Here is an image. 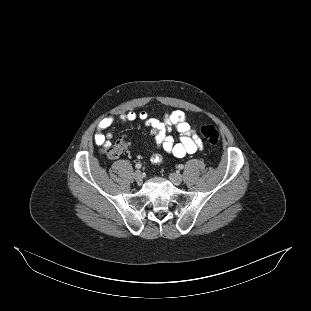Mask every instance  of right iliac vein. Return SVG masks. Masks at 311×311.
<instances>
[{
	"instance_id": "1",
	"label": "right iliac vein",
	"mask_w": 311,
	"mask_h": 311,
	"mask_svg": "<svg viewBox=\"0 0 311 311\" xmlns=\"http://www.w3.org/2000/svg\"><path fill=\"white\" fill-rule=\"evenodd\" d=\"M134 179H135V181H136L137 183H141V182H142V180H143V175H142V173H141L139 170H137V171L134 173Z\"/></svg>"
}]
</instances>
